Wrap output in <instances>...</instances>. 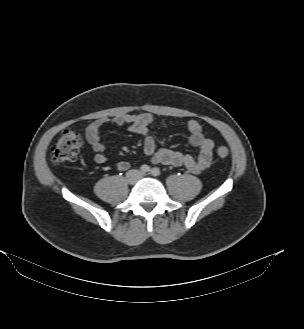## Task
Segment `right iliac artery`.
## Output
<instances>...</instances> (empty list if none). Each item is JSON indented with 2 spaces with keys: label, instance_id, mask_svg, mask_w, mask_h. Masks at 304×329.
<instances>
[{
  "label": "right iliac artery",
  "instance_id": "1",
  "mask_svg": "<svg viewBox=\"0 0 304 329\" xmlns=\"http://www.w3.org/2000/svg\"><path fill=\"white\" fill-rule=\"evenodd\" d=\"M140 171H141L142 173H148V172L151 171V169H150V167H149L148 165H142V166L140 167Z\"/></svg>",
  "mask_w": 304,
  "mask_h": 329
}]
</instances>
